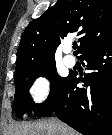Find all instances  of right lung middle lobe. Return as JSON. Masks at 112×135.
<instances>
[{
    "label": "right lung middle lobe",
    "instance_id": "right-lung-middle-lobe-1",
    "mask_svg": "<svg viewBox=\"0 0 112 135\" xmlns=\"http://www.w3.org/2000/svg\"><path fill=\"white\" fill-rule=\"evenodd\" d=\"M40 76L50 79L52 82L51 90L45 102L42 104H34L29 94V88L34 80ZM14 80L16 88L14 108L16 114L22 119L25 113L32 115V112H34L35 115H37L45 105L53 101L59 93L63 83L67 80V77L62 78L58 76L56 74L55 62H51L37 72L14 76Z\"/></svg>",
    "mask_w": 112,
    "mask_h": 135
}]
</instances>
